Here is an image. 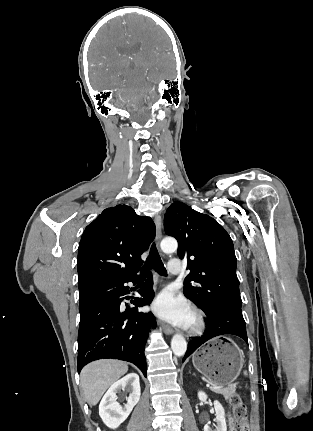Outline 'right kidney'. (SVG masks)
<instances>
[{"label":"right kidney","instance_id":"ca27d5eb","mask_svg":"<svg viewBox=\"0 0 313 431\" xmlns=\"http://www.w3.org/2000/svg\"><path fill=\"white\" fill-rule=\"evenodd\" d=\"M121 390L130 393L126 398L127 402L124 407L116 401V394ZM140 395L139 376L136 373H130L113 383L99 405V415L104 424L111 429H116L139 402Z\"/></svg>","mask_w":313,"mask_h":431}]
</instances>
